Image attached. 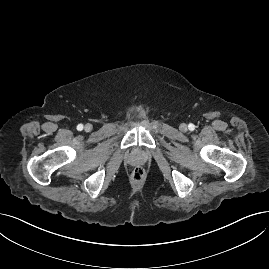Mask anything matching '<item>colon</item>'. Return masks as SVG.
<instances>
[{
  "label": "colon",
  "mask_w": 269,
  "mask_h": 269,
  "mask_svg": "<svg viewBox=\"0 0 269 269\" xmlns=\"http://www.w3.org/2000/svg\"><path fill=\"white\" fill-rule=\"evenodd\" d=\"M145 176V170L141 166H136L133 171H132V178L135 181H140L144 178Z\"/></svg>",
  "instance_id": "5ec220e1"
}]
</instances>
